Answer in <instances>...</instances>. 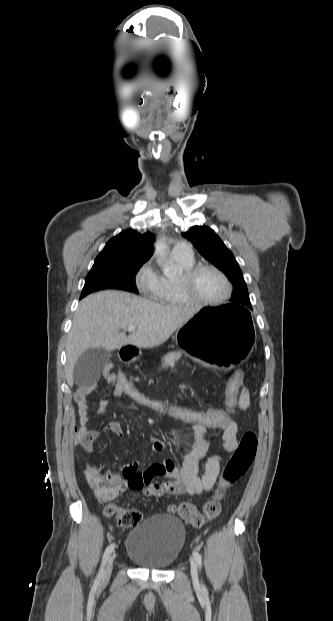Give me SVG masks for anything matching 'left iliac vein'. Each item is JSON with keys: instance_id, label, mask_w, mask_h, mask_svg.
I'll use <instances>...</instances> for the list:
<instances>
[{"instance_id": "obj_1", "label": "left iliac vein", "mask_w": 333, "mask_h": 621, "mask_svg": "<svg viewBox=\"0 0 333 621\" xmlns=\"http://www.w3.org/2000/svg\"><path fill=\"white\" fill-rule=\"evenodd\" d=\"M190 567H191L192 581H193L194 585H198L199 584L198 568H197V563L195 562L194 559L190 560Z\"/></svg>"}]
</instances>
